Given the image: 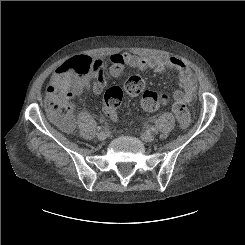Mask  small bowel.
<instances>
[{
	"instance_id": "obj_1",
	"label": "small bowel",
	"mask_w": 245,
	"mask_h": 245,
	"mask_svg": "<svg viewBox=\"0 0 245 245\" xmlns=\"http://www.w3.org/2000/svg\"><path fill=\"white\" fill-rule=\"evenodd\" d=\"M109 71L113 76H119L124 67H132L139 70L153 69L161 72L165 69L172 70L178 74L179 90L175 91L174 96L182 97L185 102L191 103L196 98V80L190 69L183 61L175 56H136L129 52L113 53L109 57ZM64 64L57 66L53 76V82L72 84V92L75 95H82L89 91L92 95H100L105 87L106 81L99 80L90 82L88 79L74 80L69 74L64 72Z\"/></svg>"
}]
</instances>
